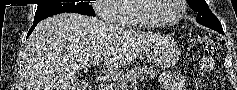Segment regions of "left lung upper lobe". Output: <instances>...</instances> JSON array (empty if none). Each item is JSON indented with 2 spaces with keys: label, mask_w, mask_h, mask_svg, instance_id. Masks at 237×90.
I'll return each mask as SVG.
<instances>
[{
  "label": "left lung upper lobe",
  "mask_w": 237,
  "mask_h": 90,
  "mask_svg": "<svg viewBox=\"0 0 237 90\" xmlns=\"http://www.w3.org/2000/svg\"><path fill=\"white\" fill-rule=\"evenodd\" d=\"M191 9L198 12L196 21L208 28L224 34L221 23L211 12L205 0H187Z\"/></svg>",
  "instance_id": "5c2ea615"
}]
</instances>
